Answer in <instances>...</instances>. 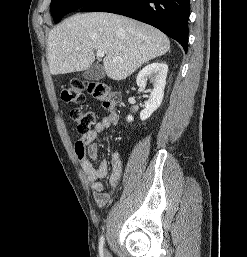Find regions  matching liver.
Returning <instances> with one entry per match:
<instances>
[{"mask_svg": "<svg viewBox=\"0 0 247 257\" xmlns=\"http://www.w3.org/2000/svg\"><path fill=\"white\" fill-rule=\"evenodd\" d=\"M169 49L168 37L158 29L128 17L99 12L66 19L50 31L47 47L52 75L84 71L93 64L95 50H102L106 55L104 71L113 80L127 78Z\"/></svg>", "mask_w": 247, "mask_h": 257, "instance_id": "obj_1", "label": "liver"}]
</instances>
